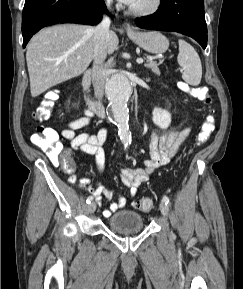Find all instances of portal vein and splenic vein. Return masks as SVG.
I'll use <instances>...</instances> for the list:
<instances>
[{"mask_svg": "<svg viewBox=\"0 0 243 289\" xmlns=\"http://www.w3.org/2000/svg\"><path fill=\"white\" fill-rule=\"evenodd\" d=\"M77 59H80V57H77ZM143 62H144V60L142 58L137 59L138 64H142Z\"/></svg>", "mask_w": 243, "mask_h": 289, "instance_id": "obj_1", "label": "portal vein and splenic vein"}]
</instances>
